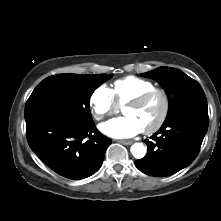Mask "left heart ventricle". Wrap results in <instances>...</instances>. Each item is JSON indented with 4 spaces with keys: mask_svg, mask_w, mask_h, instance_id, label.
Here are the masks:
<instances>
[{
    "mask_svg": "<svg viewBox=\"0 0 221 221\" xmlns=\"http://www.w3.org/2000/svg\"><path fill=\"white\" fill-rule=\"evenodd\" d=\"M163 110V100L161 96H154L151 100L142 106L132 107L126 106L123 114L134 117L141 125L142 129H146L154 125L159 119Z\"/></svg>",
    "mask_w": 221,
    "mask_h": 221,
    "instance_id": "left-heart-ventricle-1",
    "label": "left heart ventricle"
}]
</instances>
